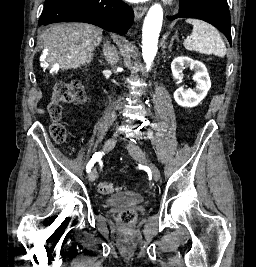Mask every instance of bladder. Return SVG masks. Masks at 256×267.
I'll return each instance as SVG.
<instances>
[{"label": "bladder", "instance_id": "1", "mask_svg": "<svg viewBox=\"0 0 256 267\" xmlns=\"http://www.w3.org/2000/svg\"><path fill=\"white\" fill-rule=\"evenodd\" d=\"M103 202L106 206L146 204L147 197L145 195H111L103 199Z\"/></svg>", "mask_w": 256, "mask_h": 267}]
</instances>
